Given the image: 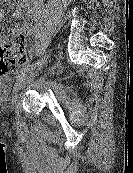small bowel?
<instances>
[{"mask_svg": "<svg viewBox=\"0 0 133 173\" xmlns=\"http://www.w3.org/2000/svg\"><path fill=\"white\" fill-rule=\"evenodd\" d=\"M43 0H22L17 10V16H21L23 11L27 12L28 19L25 21L22 27L16 26L10 30V33L22 37L23 47H25V37L35 32L37 23L40 20L41 8ZM0 13V19H1ZM9 43L8 38L0 34V47Z\"/></svg>", "mask_w": 133, "mask_h": 173, "instance_id": "small-bowel-1", "label": "small bowel"}]
</instances>
